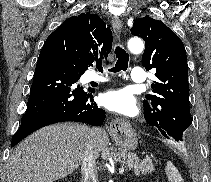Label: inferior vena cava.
<instances>
[{"label": "inferior vena cava", "mask_w": 211, "mask_h": 182, "mask_svg": "<svg viewBox=\"0 0 211 182\" xmlns=\"http://www.w3.org/2000/svg\"><path fill=\"white\" fill-rule=\"evenodd\" d=\"M94 134L95 130H92L82 158V182H98L95 168L96 159L99 155L94 149Z\"/></svg>", "instance_id": "1"}]
</instances>
